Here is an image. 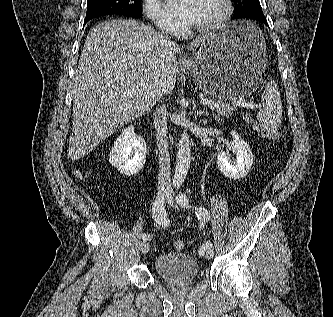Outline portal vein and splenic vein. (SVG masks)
<instances>
[{
    "instance_id": "portal-vein-and-splenic-vein-1",
    "label": "portal vein and splenic vein",
    "mask_w": 333,
    "mask_h": 317,
    "mask_svg": "<svg viewBox=\"0 0 333 317\" xmlns=\"http://www.w3.org/2000/svg\"><path fill=\"white\" fill-rule=\"evenodd\" d=\"M214 102L210 99H205V98H202L201 99V104L202 105H209V104H213ZM232 105L234 106H242V107H246L248 109H258L260 106L257 105V104H254V103H244V102H241V101H234L232 103Z\"/></svg>"
}]
</instances>
